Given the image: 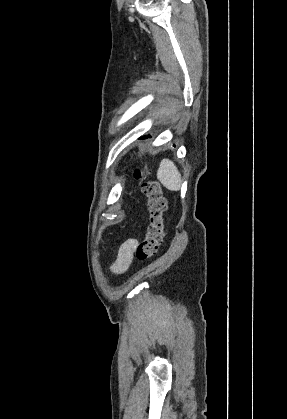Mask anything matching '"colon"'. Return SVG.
Wrapping results in <instances>:
<instances>
[{
	"label": "colon",
	"instance_id": "colon-1",
	"mask_svg": "<svg viewBox=\"0 0 287 419\" xmlns=\"http://www.w3.org/2000/svg\"><path fill=\"white\" fill-rule=\"evenodd\" d=\"M147 173L144 169H136L134 172V177L141 182V189L147 198L149 213L145 238L135 250L137 259L142 262L153 258L163 242V213L166 209V200L160 185L155 181L146 180Z\"/></svg>",
	"mask_w": 287,
	"mask_h": 419
}]
</instances>
